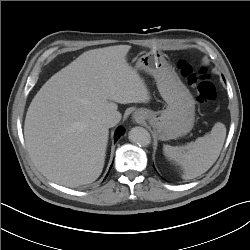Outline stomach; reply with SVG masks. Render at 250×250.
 Masks as SVG:
<instances>
[{"label": "stomach", "mask_w": 250, "mask_h": 250, "mask_svg": "<svg viewBox=\"0 0 250 250\" xmlns=\"http://www.w3.org/2000/svg\"><path fill=\"white\" fill-rule=\"evenodd\" d=\"M136 70L151 74L167 107L161 111L144 109L145 119L152 126L156 137L165 141L188 134L195 122V101L187 87L160 51H150L141 56Z\"/></svg>", "instance_id": "obj_1"}]
</instances>
